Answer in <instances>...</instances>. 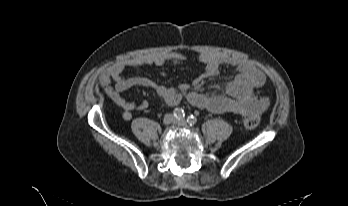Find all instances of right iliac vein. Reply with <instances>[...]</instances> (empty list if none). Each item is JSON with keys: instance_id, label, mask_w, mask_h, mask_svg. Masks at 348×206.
Segmentation results:
<instances>
[{"instance_id": "1", "label": "right iliac vein", "mask_w": 348, "mask_h": 206, "mask_svg": "<svg viewBox=\"0 0 348 206\" xmlns=\"http://www.w3.org/2000/svg\"><path fill=\"white\" fill-rule=\"evenodd\" d=\"M175 117L172 114H167L164 116L163 122L164 124L168 125L170 123H174Z\"/></svg>"}]
</instances>
